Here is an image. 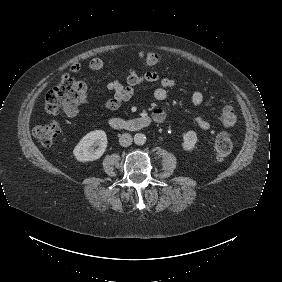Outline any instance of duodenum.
<instances>
[{
	"label": "duodenum",
	"mask_w": 282,
	"mask_h": 282,
	"mask_svg": "<svg viewBox=\"0 0 282 282\" xmlns=\"http://www.w3.org/2000/svg\"><path fill=\"white\" fill-rule=\"evenodd\" d=\"M155 115H159V117H155ZM164 118H165V114L163 112H159L152 116L144 115L129 120L112 118L109 121V125L115 129L125 128V129L136 130L149 126L152 123V121H156V122L163 121Z\"/></svg>",
	"instance_id": "410a0bca"
}]
</instances>
